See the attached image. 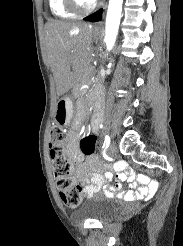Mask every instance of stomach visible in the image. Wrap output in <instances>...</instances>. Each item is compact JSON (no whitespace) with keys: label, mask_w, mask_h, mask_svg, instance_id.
Wrapping results in <instances>:
<instances>
[{"label":"stomach","mask_w":183,"mask_h":246,"mask_svg":"<svg viewBox=\"0 0 183 246\" xmlns=\"http://www.w3.org/2000/svg\"><path fill=\"white\" fill-rule=\"evenodd\" d=\"M73 107V102L69 97H63L58 101L54 117L57 125L64 127L70 123Z\"/></svg>","instance_id":"1"}]
</instances>
